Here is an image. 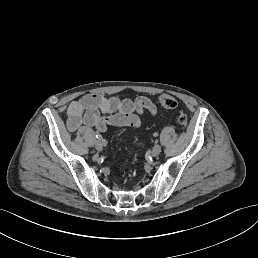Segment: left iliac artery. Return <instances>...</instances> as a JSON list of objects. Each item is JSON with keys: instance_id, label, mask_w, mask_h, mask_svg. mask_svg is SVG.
<instances>
[{"instance_id": "obj_1", "label": "left iliac artery", "mask_w": 258, "mask_h": 258, "mask_svg": "<svg viewBox=\"0 0 258 258\" xmlns=\"http://www.w3.org/2000/svg\"><path fill=\"white\" fill-rule=\"evenodd\" d=\"M158 135H159L158 132H155V133L153 134L154 137H157Z\"/></svg>"}]
</instances>
